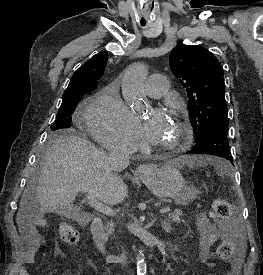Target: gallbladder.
<instances>
[{
	"label": "gallbladder",
	"mask_w": 263,
	"mask_h": 275,
	"mask_svg": "<svg viewBox=\"0 0 263 275\" xmlns=\"http://www.w3.org/2000/svg\"><path fill=\"white\" fill-rule=\"evenodd\" d=\"M54 212L63 216L76 217V214H74V211L72 210V208H68L65 206H57Z\"/></svg>",
	"instance_id": "bac80fb5"
}]
</instances>
